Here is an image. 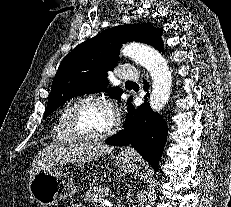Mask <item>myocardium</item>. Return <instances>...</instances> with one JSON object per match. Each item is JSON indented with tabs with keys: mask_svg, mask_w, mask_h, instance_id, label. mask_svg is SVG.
Here are the masks:
<instances>
[{
	"mask_svg": "<svg viewBox=\"0 0 231 207\" xmlns=\"http://www.w3.org/2000/svg\"><path fill=\"white\" fill-rule=\"evenodd\" d=\"M88 102H96V103L103 104L113 112L114 114L113 123L111 127L105 132H102L100 134H95V135L87 134L81 131L78 125L76 124L75 112L77 108L81 106L82 104H85ZM66 124H67V128L69 132L77 140L84 141V142H99V141L105 140L113 136L114 134H116L120 129L121 121H120L119 114L116 111V108L114 107V105L111 103V101L108 98H106L105 96L97 95V94H90V95H86V96L78 98L69 106L66 112Z\"/></svg>",
	"mask_w": 231,
	"mask_h": 207,
	"instance_id": "myocardium-1",
	"label": "myocardium"
}]
</instances>
